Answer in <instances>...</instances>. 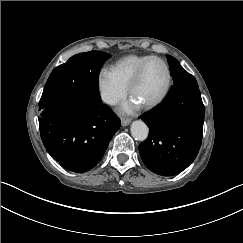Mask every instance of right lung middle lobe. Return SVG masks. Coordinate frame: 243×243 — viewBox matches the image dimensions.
<instances>
[{
	"label": "right lung middle lobe",
	"instance_id": "obj_1",
	"mask_svg": "<svg viewBox=\"0 0 243 243\" xmlns=\"http://www.w3.org/2000/svg\"><path fill=\"white\" fill-rule=\"evenodd\" d=\"M108 58V53L90 51L74 55L66 63L56 67L44 87L39 110L51 106L69 94L100 98L98 76Z\"/></svg>",
	"mask_w": 243,
	"mask_h": 243
}]
</instances>
